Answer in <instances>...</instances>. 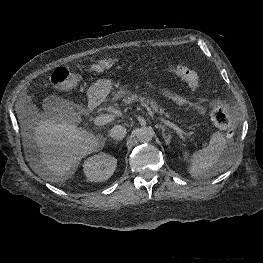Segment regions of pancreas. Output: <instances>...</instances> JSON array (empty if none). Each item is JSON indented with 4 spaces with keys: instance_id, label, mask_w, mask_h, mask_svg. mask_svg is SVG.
<instances>
[{
    "instance_id": "obj_1",
    "label": "pancreas",
    "mask_w": 263,
    "mask_h": 263,
    "mask_svg": "<svg viewBox=\"0 0 263 263\" xmlns=\"http://www.w3.org/2000/svg\"><path fill=\"white\" fill-rule=\"evenodd\" d=\"M116 96L118 98H122L123 104L127 105L133 102H139L141 104H144L146 106H149L154 112L162 113L166 117H169L168 113H165L163 109H160L157 105V103L154 100H150L146 97H142L136 94H132L131 92L121 89L116 93Z\"/></svg>"
}]
</instances>
